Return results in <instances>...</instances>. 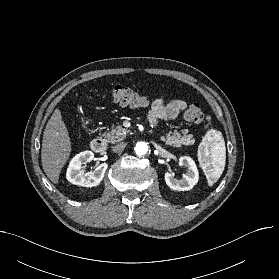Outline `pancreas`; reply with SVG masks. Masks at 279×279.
<instances>
[{"label":"pancreas","mask_w":279,"mask_h":279,"mask_svg":"<svg viewBox=\"0 0 279 279\" xmlns=\"http://www.w3.org/2000/svg\"><path fill=\"white\" fill-rule=\"evenodd\" d=\"M128 132L129 130L123 128L121 125H117L114 128H111L107 134H103V137H105L110 143H117L124 140ZM160 139L165 142L166 145L173 147H180L182 145L188 146L194 143L192 135L188 134L187 130H182V135L176 130L173 132L170 131L165 137L161 136Z\"/></svg>","instance_id":"cf45deb5"}]
</instances>
